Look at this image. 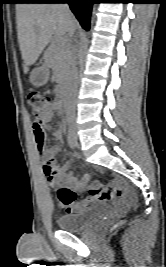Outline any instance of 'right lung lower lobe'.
Returning a JSON list of instances; mask_svg holds the SVG:
<instances>
[{
	"label": "right lung lower lobe",
	"instance_id": "1",
	"mask_svg": "<svg viewBox=\"0 0 166 267\" xmlns=\"http://www.w3.org/2000/svg\"><path fill=\"white\" fill-rule=\"evenodd\" d=\"M68 3L72 12L79 20L81 26L88 30L90 28V15L92 4L94 0H31V1H20L18 3Z\"/></svg>",
	"mask_w": 166,
	"mask_h": 267
}]
</instances>
